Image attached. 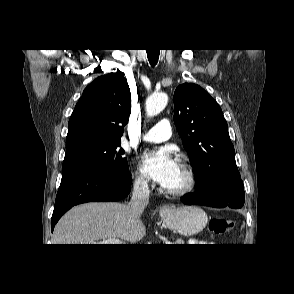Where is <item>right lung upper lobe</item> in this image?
Segmentation results:
<instances>
[{"instance_id": "obj_1", "label": "right lung upper lobe", "mask_w": 294, "mask_h": 294, "mask_svg": "<svg viewBox=\"0 0 294 294\" xmlns=\"http://www.w3.org/2000/svg\"><path fill=\"white\" fill-rule=\"evenodd\" d=\"M131 104L126 79L110 73L95 79L85 88L68 123L66 144L94 139L120 142Z\"/></svg>"}]
</instances>
